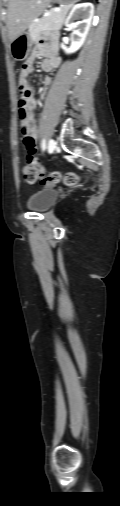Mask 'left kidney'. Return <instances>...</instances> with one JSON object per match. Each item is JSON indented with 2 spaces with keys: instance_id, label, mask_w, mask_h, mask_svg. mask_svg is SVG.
Listing matches in <instances>:
<instances>
[{
  "instance_id": "left-kidney-1",
  "label": "left kidney",
  "mask_w": 120,
  "mask_h": 506,
  "mask_svg": "<svg viewBox=\"0 0 120 506\" xmlns=\"http://www.w3.org/2000/svg\"><path fill=\"white\" fill-rule=\"evenodd\" d=\"M93 14L94 6L91 3L77 4L71 9L65 20V26L73 30L70 38L71 44L69 47L61 44L65 53H74L82 47L89 32ZM79 18L81 20L75 23L74 20Z\"/></svg>"
}]
</instances>
